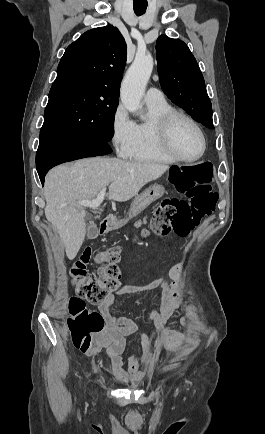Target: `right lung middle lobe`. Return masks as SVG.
I'll return each instance as SVG.
<instances>
[{
    "mask_svg": "<svg viewBox=\"0 0 265 434\" xmlns=\"http://www.w3.org/2000/svg\"><path fill=\"white\" fill-rule=\"evenodd\" d=\"M118 97L119 91L95 81H55L49 92L40 137L53 133L76 140L110 141Z\"/></svg>",
    "mask_w": 265,
    "mask_h": 434,
    "instance_id": "dd1d6c3e",
    "label": "right lung middle lobe"
}]
</instances>
